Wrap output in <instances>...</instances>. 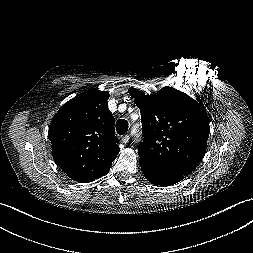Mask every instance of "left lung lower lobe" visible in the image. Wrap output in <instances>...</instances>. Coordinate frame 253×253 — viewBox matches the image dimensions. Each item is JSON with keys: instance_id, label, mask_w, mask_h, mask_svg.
<instances>
[{"instance_id": "obj_1", "label": "left lung lower lobe", "mask_w": 253, "mask_h": 253, "mask_svg": "<svg viewBox=\"0 0 253 253\" xmlns=\"http://www.w3.org/2000/svg\"><path fill=\"white\" fill-rule=\"evenodd\" d=\"M139 162L144 176L154 185H160L164 187L173 185L185 177L181 174L155 169L142 159H139Z\"/></svg>"}]
</instances>
